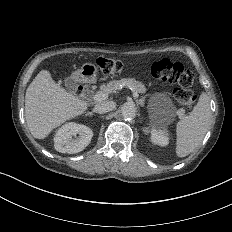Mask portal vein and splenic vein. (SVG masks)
<instances>
[{
	"label": "portal vein and splenic vein",
	"mask_w": 232,
	"mask_h": 232,
	"mask_svg": "<svg viewBox=\"0 0 232 232\" xmlns=\"http://www.w3.org/2000/svg\"><path fill=\"white\" fill-rule=\"evenodd\" d=\"M133 96H134V98H138V94L136 92H134ZM107 97H108V94H105V93H96L95 95L92 96V99L95 102H99V101L106 100Z\"/></svg>",
	"instance_id": "18ae733b"
}]
</instances>
